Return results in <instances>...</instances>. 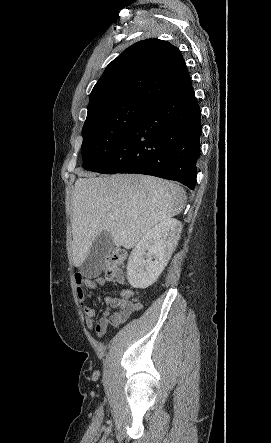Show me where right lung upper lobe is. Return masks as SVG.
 Wrapping results in <instances>:
<instances>
[{"label":"right lung upper lobe","instance_id":"cb5924a9","mask_svg":"<svg viewBox=\"0 0 271 443\" xmlns=\"http://www.w3.org/2000/svg\"><path fill=\"white\" fill-rule=\"evenodd\" d=\"M191 86L178 48L159 39L139 41L107 66L90 94L87 117L104 103L123 99L152 103Z\"/></svg>","mask_w":271,"mask_h":443}]
</instances>
